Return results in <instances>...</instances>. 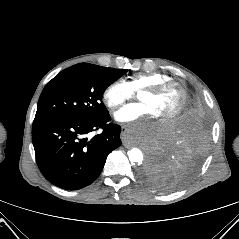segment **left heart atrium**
Wrapping results in <instances>:
<instances>
[{
	"mask_svg": "<svg viewBox=\"0 0 239 239\" xmlns=\"http://www.w3.org/2000/svg\"><path fill=\"white\" fill-rule=\"evenodd\" d=\"M156 118L152 109L144 103H133L125 106L115 114V119L121 123H140L133 127V131L141 133L153 127L152 119Z\"/></svg>",
	"mask_w": 239,
	"mask_h": 239,
	"instance_id": "39dd6f15",
	"label": "left heart atrium"
}]
</instances>
